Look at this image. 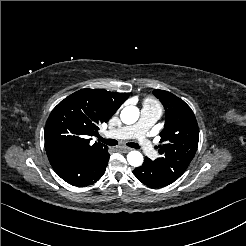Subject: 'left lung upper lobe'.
Instances as JSON below:
<instances>
[{"mask_svg": "<svg viewBox=\"0 0 246 246\" xmlns=\"http://www.w3.org/2000/svg\"><path fill=\"white\" fill-rule=\"evenodd\" d=\"M166 111L165 126L160 133L162 145L156 164L178 179L193 159L199 141V129L191 108L180 98L164 90H154Z\"/></svg>", "mask_w": 246, "mask_h": 246, "instance_id": "1", "label": "left lung upper lobe"}]
</instances>
